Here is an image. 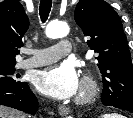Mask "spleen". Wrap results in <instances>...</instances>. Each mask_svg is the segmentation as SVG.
I'll return each instance as SVG.
<instances>
[{
	"label": "spleen",
	"instance_id": "1",
	"mask_svg": "<svg viewBox=\"0 0 133 118\" xmlns=\"http://www.w3.org/2000/svg\"><path fill=\"white\" fill-rule=\"evenodd\" d=\"M103 118H116V117H114V116L113 117L112 116L111 117L110 116H105Z\"/></svg>",
	"mask_w": 133,
	"mask_h": 118
}]
</instances>
